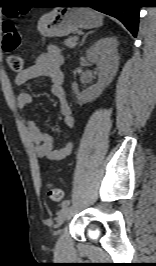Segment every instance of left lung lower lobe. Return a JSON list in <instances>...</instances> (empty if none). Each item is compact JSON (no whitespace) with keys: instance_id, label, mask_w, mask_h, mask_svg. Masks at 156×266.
<instances>
[{"instance_id":"left-lung-lower-lobe-1","label":"left lung lower lobe","mask_w":156,"mask_h":266,"mask_svg":"<svg viewBox=\"0 0 156 266\" xmlns=\"http://www.w3.org/2000/svg\"><path fill=\"white\" fill-rule=\"evenodd\" d=\"M92 7L120 20L125 27L136 37L139 20V0H68L65 2Z\"/></svg>"}]
</instances>
